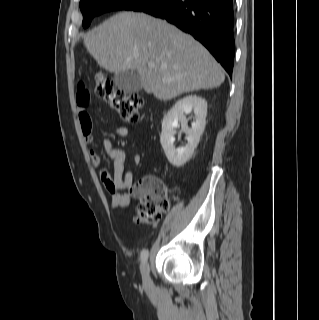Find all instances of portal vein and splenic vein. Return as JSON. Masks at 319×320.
I'll return each mask as SVG.
<instances>
[{
  "mask_svg": "<svg viewBox=\"0 0 319 320\" xmlns=\"http://www.w3.org/2000/svg\"><path fill=\"white\" fill-rule=\"evenodd\" d=\"M148 67L149 68H154L155 67V63L154 62H149L148 63Z\"/></svg>",
  "mask_w": 319,
  "mask_h": 320,
  "instance_id": "portal-vein-and-splenic-vein-1",
  "label": "portal vein and splenic vein"
}]
</instances>
